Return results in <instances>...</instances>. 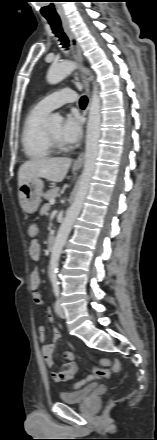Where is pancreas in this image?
<instances>
[{
    "label": "pancreas",
    "mask_w": 157,
    "mask_h": 440,
    "mask_svg": "<svg viewBox=\"0 0 157 440\" xmlns=\"http://www.w3.org/2000/svg\"><path fill=\"white\" fill-rule=\"evenodd\" d=\"M58 192H59V188H58V187H54L53 189L47 191V192L43 195V197H44L46 200L50 201L51 199H54L55 197H57Z\"/></svg>",
    "instance_id": "pancreas-1"
}]
</instances>
